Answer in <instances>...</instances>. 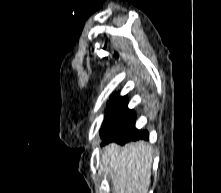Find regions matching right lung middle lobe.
Segmentation results:
<instances>
[{
    "label": "right lung middle lobe",
    "instance_id": "1",
    "mask_svg": "<svg viewBox=\"0 0 221 193\" xmlns=\"http://www.w3.org/2000/svg\"><path fill=\"white\" fill-rule=\"evenodd\" d=\"M135 114L127 108V103L109 107L100 130L102 145L112 142L135 129Z\"/></svg>",
    "mask_w": 221,
    "mask_h": 193
}]
</instances>
